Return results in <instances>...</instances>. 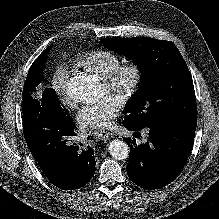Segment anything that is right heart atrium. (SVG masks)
I'll return each mask as SVG.
<instances>
[{
  "instance_id": "right-heart-atrium-1",
  "label": "right heart atrium",
  "mask_w": 219,
  "mask_h": 219,
  "mask_svg": "<svg viewBox=\"0 0 219 219\" xmlns=\"http://www.w3.org/2000/svg\"><path fill=\"white\" fill-rule=\"evenodd\" d=\"M69 80V71L64 66H59L55 69L51 77V87L54 94L61 100V102L69 107L76 106V102L73 101L67 95V85Z\"/></svg>"
}]
</instances>
